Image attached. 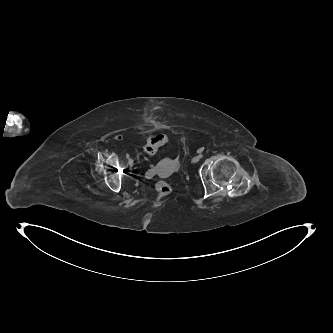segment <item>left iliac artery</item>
<instances>
[{"label": "left iliac artery", "instance_id": "1", "mask_svg": "<svg viewBox=\"0 0 333 333\" xmlns=\"http://www.w3.org/2000/svg\"><path fill=\"white\" fill-rule=\"evenodd\" d=\"M203 151V148L199 149V152H202ZM200 158H202V155H199Z\"/></svg>", "mask_w": 333, "mask_h": 333}]
</instances>
